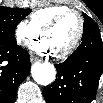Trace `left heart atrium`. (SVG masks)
<instances>
[{
  "label": "left heart atrium",
  "instance_id": "left-heart-atrium-1",
  "mask_svg": "<svg viewBox=\"0 0 103 103\" xmlns=\"http://www.w3.org/2000/svg\"><path fill=\"white\" fill-rule=\"evenodd\" d=\"M32 49L38 53H52V47L47 38H42L32 45Z\"/></svg>",
  "mask_w": 103,
  "mask_h": 103
}]
</instances>
